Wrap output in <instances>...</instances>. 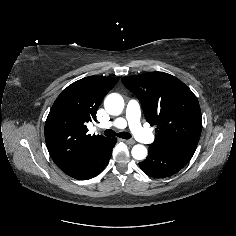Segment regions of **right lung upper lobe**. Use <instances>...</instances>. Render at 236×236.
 <instances>
[{
	"instance_id": "right-lung-upper-lobe-1",
	"label": "right lung upper lobe",
	"mask_w": 236,
	"mask_h": 236,
	"mask_svg": "<svg viewBox=\"0 0 236 236\" xmlns=\"http://www.w3.org/2000/svg\"><path fill=\"white\" fill-rule=\"evenodd\" d=\"M116 77L90 76L69 85L57 97L45 122V141L55 164L65 173L77 170L108 138L87 134Z\"/></svg>"
}]
</instances>
